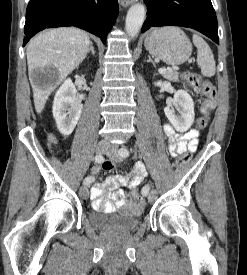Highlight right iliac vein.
Returning a JSON list of instances; mask_svg holds the SVG:
<instances>
[{
	"label": "right iliac vein",
	"instance_id": "1",
	"mask_svg": "<svg viewBox=\"0 0 247 275\" xmlns=\"http://www.w3.org/2000/svg\"><path fill=\"white\" fill-rule=\"evenodd\" d=\"M109 149V143L107 141H100L95 148L97 154H104ZM79 194L83 199H87L89 196V190L87 185H83L80 190Z\"/></svg>",
	"mask_w": 247,
	"mask_h": 275
}]
</instances>
